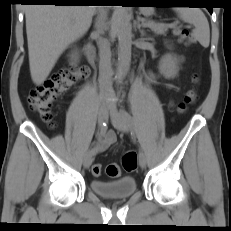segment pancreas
I'll use <instances>...</instances> for the list:
<instances>
[{
  "instance_id": "cf45deb5",
  "label": "pancreas",
  "mask_w": 231,
  "mask_h": 231,
  "mask_svg": "<svg viewBox=\"0 0 231 231\" xmlns=\"http://www.w3.org/2000/svg\"><path fill=\"white\" fill-rule=\"evenodd\" d=\"M147 23L148 27L156 34L164 35L168 30L167 25L164 23H155L153 21H147Z\"/></svg>"
}]
</instances>
